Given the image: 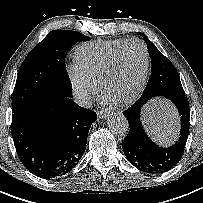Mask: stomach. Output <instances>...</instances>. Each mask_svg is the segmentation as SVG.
Returning a JSON list of instances; mask_svg holds the SVG:
<instances>
[{"instance_id":"1","label":"stomach","mask_w":203,"mask_h":203,"mask_svg":"<svg viewBox=\"0 0 203 203\" xmlns=\"http://www.w3.org/2000/svg\"><path fill=\"white\" fill-rule=\"evenodd\" d=\"M162 107H154V108H152V110H157V109H161ZM151 111V110H150ZM149 114V111L147 110V112H146V116Z\"/></svg>"}]
</instances>
